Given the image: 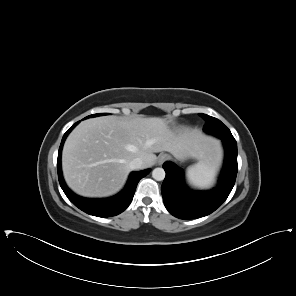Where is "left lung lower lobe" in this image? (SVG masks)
<instances>
[{
  "label": "left lung lower lobe",
  "mask_w": 296,
  "mask_h": 296,
  "mask_svg": "<svg viewBox=\"0 0 296 296\" xmlns=\"http://www.w3.org/2000/svg\"><path fill=\"white\" fill-rule=\"evenodd\" d=\"M225 148L224 167L216 188L207 192L192 191L184 183L183 171L174 163L166 162V177L161 191L165 207L180 219H196L215 211L229 196L236 180L237 143L234 138L222 139Z\"/></svg>",
  "instance_id": "0a47b994"
}]
</instances>
